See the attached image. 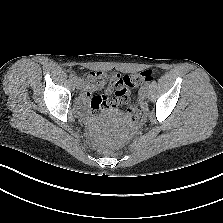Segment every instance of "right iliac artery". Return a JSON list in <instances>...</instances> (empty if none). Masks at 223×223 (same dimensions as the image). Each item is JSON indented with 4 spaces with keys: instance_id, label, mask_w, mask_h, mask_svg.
<instances>
[{
    "instance_id": "obj_1",
    "label": "right iliac artery",
    "mask_w": 223,
    "mask_h": 223,
    "mask_svg": "<svg viewBox=\"0 0 223 223\" xmlns=\"http://www.w3.org/2000/svg\"><path fill=\"white\" fill-rule=\"evenodd\" d=\"M70 77H71L72 79H75V80L78 79L77 76H76L74 73H71V74H70Z\"/></svg>"
}]
</instances>
